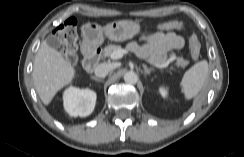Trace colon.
<instances>
[{
	"label": "colon",
	"mask_w": 244,
	"mask_h": 157,
	"mask_svg": "<svg viewBox=\"0 0 244 157\" xmlns=\"http://www.w3.org/2000/svg\"><path fill=\"white\" fill-rule=\"evenodd\" d=\"M183 24L178 21H168L157 26L159 30H181ZM56 37L61 43V52L65 59L75 65L78 60L77 55V24L74 19H69L58 27ZM188 45L191 56L197 59L200 56L201 45L194 34L188 36Z\"/></svg>",
	"instance_id": "1"
}]
</instances>
